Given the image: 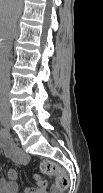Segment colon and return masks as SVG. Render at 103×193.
<instances>
[{
  "instance_id": "1",
  "label": "colon",
  "mask_w": 103,
  "mask_h": 193,
  "mask_svg": "<svg viewBox=\"0 0 103 193\" xmlns=\"http://www.w3.org/2000/svg\"><path fill=\"white\" fill-rule=\"evenodd\" d=\"M40 169L44 174L54 176L56 184L59 188H68V175L58 164L50 160H43L40 164Z\"/></svg>"
}]
</instances>
